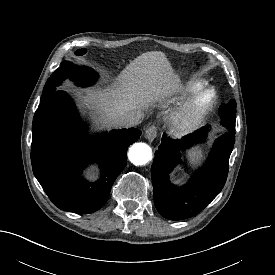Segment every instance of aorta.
I'll use <instances>...</instances> for the list:
<instances>
[{"label":"aorta","mask_w":275,"mask_h":275,"mask_svg":"<svg viewBox=\"0 0 275 275\" xmlns=\"http://www.w3.org/2000/svg\"><path fill=\"white\" fill-rule=\"evenodd\" d=\"M128 158L134 165H145L152 159V150L146 143H135L129 149Z\"/></svg>","instance_id":"obj_1"}]
</instances>
